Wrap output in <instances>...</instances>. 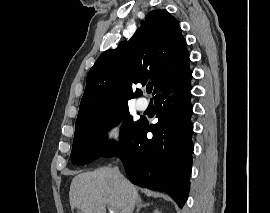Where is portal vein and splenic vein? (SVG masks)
<instances>
[{"mask_svg":"<svg viewBox=\"0 0 270 213\" xmlns=\"http://www.w3.org/2000/svg\"><path fill=\"white\" fill-rule=\"evenodd\" d=\"M109 213H116V212L110 209V212Z\"/></svg>","mask_w":270,"mask_h":213,"instance_id":"1","label":"portal vein and splenic vein"}]
</instances>
